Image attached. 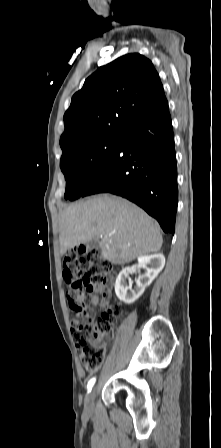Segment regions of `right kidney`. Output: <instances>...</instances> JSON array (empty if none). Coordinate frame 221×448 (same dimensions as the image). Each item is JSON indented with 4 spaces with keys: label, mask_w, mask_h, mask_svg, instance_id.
<instances>
[{
    "label": "right kidney",
    "mask_w": 221,
    "mask_h": 448,
    "mask_svg": "<svg viewBox=\"0 0 221 448\" xmlns=\"http://www.w3.org/2000/svg\"><path fill=\"white\" fill-rule=\"evenodd\" d=\"M149 265V267H147ZM165 265V257L161 253L153 255H145L138 257V263L131 267H125L117 276L115 282V293L119 300L125 304H132L144 292L145 288L149 286L157 275L162 271ZM141 268H146L144 275H139L136 281V287L132 289L127 286L126 279L130 274L140 271Z\"/></svg>",
    "instance_id": "1"
}]
</instances>
